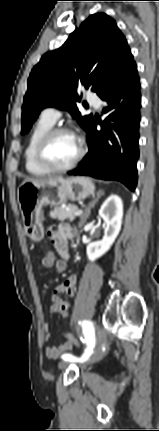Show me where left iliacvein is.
Segmentation results:
<instances>
[{"instance_id": "left-iliac-vein-1", "label": "left iliac vein", "mask_w": 159, "mask_h": 431, "mask_svg": "<svg viewBox=\"0 0 159 431\" xmlns=\"http://www.w3.org/2000/svg\"><path fill=\"white\" fill-rule=\"evenodd\" d=\"M96 340L98 342V347L95 350V352L86 360V362L82 365V367H86L88 365H92L99 360L102 359L104 356V343H105V333L103 331L98 330L96 334ZM68 362L67 361H61L59 363V368L64 369L67 367Z\"/></svg>"}]
</instances>
